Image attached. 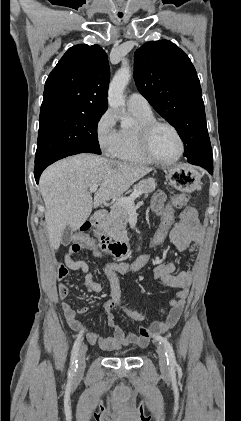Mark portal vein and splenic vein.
Here are the masks:
<instances>
[{
  "label": "portal vein and splenic vein",
  "mask_w": 241,
  "mask_h": 421,
  "mask_svg": "<svg viewBox=\"0 0 241 421\" xmlns=\"http://www.w3.org/2000/svg\"><path fill=\"white\" fill-rule=\"evenodd\" d=\"M98 186H99L98 184H93L92 186H90L89 191L96 192L98 189ZM140 195H142V192L136 191L132 193L131 196L129 197L119 198L114 205L124 206L127 208H134L135 207L134 200Z\"/></svg>",
  "instance_id": "18ae733b"
}]
</instances>
